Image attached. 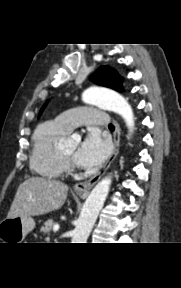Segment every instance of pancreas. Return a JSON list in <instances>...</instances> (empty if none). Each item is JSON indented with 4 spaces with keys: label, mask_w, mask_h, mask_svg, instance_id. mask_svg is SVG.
Here are the masks:
<instances>
[{
    "label": "pancreas",
    "mask_w": 181,
    "mask_h": 288,
    "mask_svg": "<svg viewBox=\"0 0 181 288\" xmlns=\"http://www.w3.org/2000/svg\"><path fill=\"white\" fill-rule=\"evenodd\" d=\"M55 225V222L53 219H49L44 223V225L41 227L40 231L45 235L48 234L51 230L52 227Z\"/></svg>",
    "instance_id": "cf45deb5"
}]
</instances>
